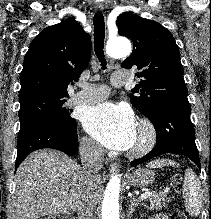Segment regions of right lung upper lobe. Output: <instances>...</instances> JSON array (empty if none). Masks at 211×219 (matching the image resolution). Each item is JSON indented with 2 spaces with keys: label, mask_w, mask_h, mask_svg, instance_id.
Masks as SVG:
<instances>
[{
  "label": "right lung upper lobe",
  "mask_w": 211,
  "mask_h": 219,
  "mask_svg": "<svg viewBox=\"0 0 211 219\" xmlns=\"http://www.w3.org/2000/svg\"><path fill=\"white\" fill-rule=\"evenodd\" d=\"M91 57V37L73 18L42 30L31 42L20 76L19 101L68 97Z\"/></svg>",
  "instance_id": "1"
}]
</instances>
